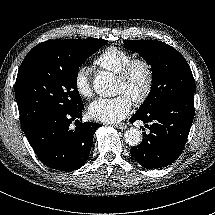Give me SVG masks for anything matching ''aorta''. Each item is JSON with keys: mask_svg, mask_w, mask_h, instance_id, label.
<instances>
[{"mask_svg": "<svg viewBox=\"0 0 215 215\" xmlns=\"http://www.w3.org/2000/svg\"><path fill=\"white\" fill-rule=\"evenodd\" d=\"M112 86L111 77L107 72L98 73L93 81V91L101 96H108ZM142 133L136 128L127 129L124 134V141L127 145L137 146L142 141Z\"/></svg>", "mask_w": 215, "mask_h": 215, "instance_id": "762f6f07", "label": "aorta"}]
</instances>
